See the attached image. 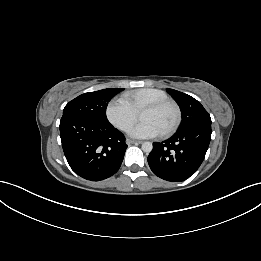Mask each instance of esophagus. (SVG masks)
<instances>
[{
  "instance_id": "1",
  "label": "esophagus",
  "mask_w": 261,
  "mask_h": 261,
  "mask_svg": "<svg viewBox=\"0 0 261 261\" xmlns=\"http://www.w3.org/2000/svg\"><path fill=\"white\" fill-rule=\"evenodd\" d=\"M126 143H127L128 145H132V144H141L142 141L133 140V139H127V140H126Z\"/></svg>"
}]
</instances>
